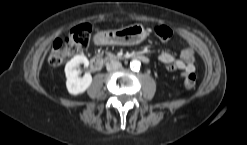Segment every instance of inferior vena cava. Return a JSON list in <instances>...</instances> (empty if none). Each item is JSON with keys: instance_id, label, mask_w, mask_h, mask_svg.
<instances>
[{"instance_id": "1", "label": "inferior vena cava", "mask_w": 247, "mask_h": 145, "mask_svg": "<svg viewBox=\"0 0 247 145\" xmlns=\"http://www.w3.org/2000/svg\"><path fill=\"white\" fill-rule=\"evenodd\" d=\"M122 67V64L121 62L119 61H116V60H112L110 62H108L106 64V68L108 71H114V70H118Z\"/></svg>"}]
</instances>
